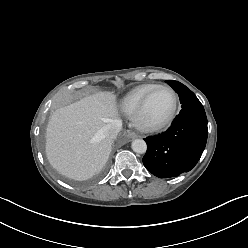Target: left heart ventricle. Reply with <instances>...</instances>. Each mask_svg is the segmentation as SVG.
<instances>
[{"label": "left heart ventricle", "instance_id": "left-heart-ventricle-1", "mask_svg": "<svg viewBox=\"0 0 248 248\" xmlns=\"http://www.w3.org/2000/svg\"><path fill=\"white\" fill-rule=\"evenodd\" d=\"M172 104V95L167 90H154L148 98L144 111V120L147 122L160 121L169 113Z\"/></svg>", "mask_w": 248, "mask_h": 248}]
</instances>
